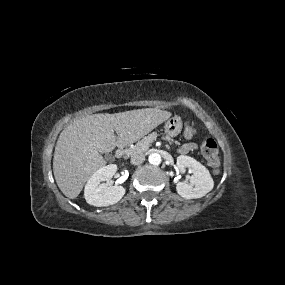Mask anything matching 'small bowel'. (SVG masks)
<instances>
[{"label": "small bowel", "instance_id": "small-bowel-1", "mask_svg": "<svg viewBox=\"0 0 285 285\" xmlns=\"http://www.w3.org/2000/svg\"><path fill=\"white\" fill-rule=\"evenodd\" d=\"M195 149H196V145L194 143H187L181 147V152L187 153Z\"/></svg>", "mask_w": 285, "mask_h": 285}]
</instances>
